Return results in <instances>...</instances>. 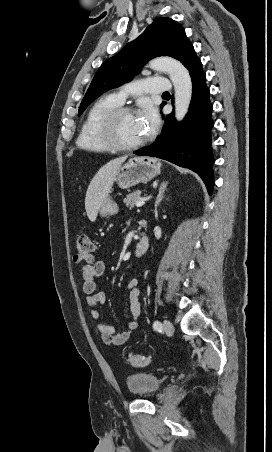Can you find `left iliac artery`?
<instances>
[{"label":"left iliac artery","mask_w":272,"mask_h":452,"mask_svg":"<svg viewBox=\"0 0 272 452\" xmlns=\"http://www.w3.org/2000/svg\"><path fill=\"white\" fill-rule=\"evenodd\" d=\"M153 328H154V330H156V331H161V330H162V324H161V322L158 321V320H156V321L153 323Z\"/></svg>","instance_id":"44dca946"}]
</instances>
